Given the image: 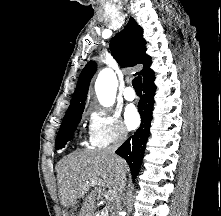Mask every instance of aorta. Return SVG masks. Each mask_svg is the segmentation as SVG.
<instances>
[{"mask_svg":"<svg viewBox=\"0 0 221 216\" xmlns=\"http://www.w3.org/2000/svg\"><path fill=\"white\" fill-rule=\"evenodd\" d=\"M117 86V77L111 69L100 71L95 82V91L102 106L110 107L115 103Z\"/></svg>","mask_w":221,"mask_h":216,"instance_id":"aorta-1","label":"aorta"}]
</instances>
